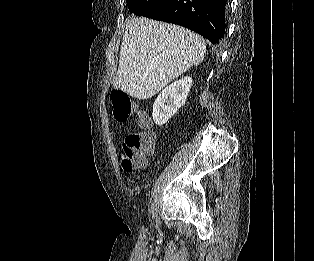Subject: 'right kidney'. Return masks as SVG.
<instances>
[{
  "label": "right kidney",
  "instance_id": "right-kidney-1",
  "mask_svg": "<svg viewBox=\"0 0 314 261\" xmlns=\"http://www.w3.org/2000/svg\"><path fill=\"white\" fill-rule=\"evenodd\" d=\"M192 78L184 77L161 91L153 104V120L163 126L183 106L192 86Z\"/></svg>",
  "mask_w": 314,
  "mask_h": 261
}]
</instances>
